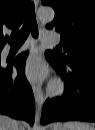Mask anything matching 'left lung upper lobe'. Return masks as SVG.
Masks as SVG:
<instances>
[{"label":"left lung upper lobe","mask_w":95,"mask_h":130,"mask_svg":"<svg viewBox=\"0 0 95 130\" xmlns=\"http://www.w3.org/2000/svg\"><path fill=\"white\" fill-rule=\"evenodd\" d=\"M55 10L54 20L46 25L61 34V49L66 55L47 51L58 62L95 61V0H41Z\"/></svg>","instance_id":"1"}]
</instances>
